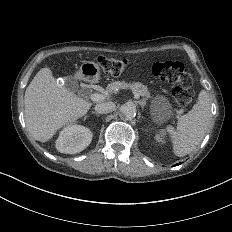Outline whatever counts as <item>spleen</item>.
Segmentation results:
<instances>
[{
    "label": "spleen",
    "mask_w": 232,
    "mask_h": 232,
    "mask_svg": "<svg viewBox=\"0 0 232 232\" xmlns=\"http://www.w3.org/2000/svg\"><path fill=\"white\" fill-rule=\"evenodd\" d=\"M210 118L209 95L205 90H201L198 102L192 110L178 119L176 130L171 125L166 127V131L173 139V150L176 156H186L196 149L206 134Z\"/></svg>",
    "instance_id": "spleen-1"
}]
</instances>
